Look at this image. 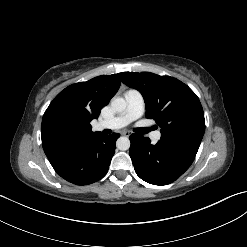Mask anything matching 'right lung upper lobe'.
<instances>
[{"label": "right lung upper lobe", "instance_id": "1", "mask_svg": "<svg viewBox=\"0 0 247 247\" xmlns=\"http://www.w3.org/2000/svg\"><path fill=\"white\" fill-rule=\"evenodd\" d=\"M120 84L121 74L102 75L72 84L54 98L42 119V145L48 159L79 149L100 134L91 131L90 122Z\"/></svg>", "mask_w": 247, "mask_h": 247}]
</instances>
